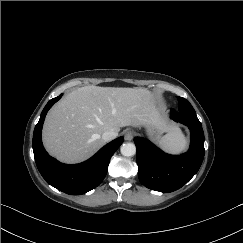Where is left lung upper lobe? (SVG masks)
<instances>
[{"label":"left lung upper lobe","mask_w":243,"mask_h":243,"mask_svg":"<svg viewBox=\"0 0 243 243\" xmlns=\"http://www.w3.org/2000/svg\"><path fill=\"white\" fill-rule=\"evenodd\" d=\"M178 101H179V107L177 111L196 116L195 110L193 109V107L191 106L188 100L182 97H178Z\"/></svg>","instance_id":"left-lung-upper-lobe-1"}]
</instances>
